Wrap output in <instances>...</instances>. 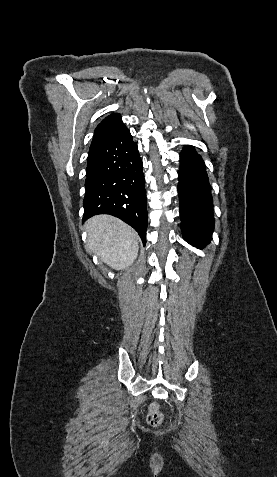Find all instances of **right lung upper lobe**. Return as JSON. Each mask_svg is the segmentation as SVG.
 I'll list each match as a JSON object with an SVG mask.
<instances>
[{"label":"right lung upper lobe","mask_w":277,"mask_h":477,"mask_svg":"<svg viewBox=\"0 0 277 477\" xmlns=\"http://www.w3.org/2000/svg\"><path fill=\"white\" fill-rule=\"evenodd\" d=\"M126 126L122 122V117L118 113H114L106 117L96 127L90 149H95L112 140Z\"/></svg>","instance_id":"obj_1"}]
</instances>
